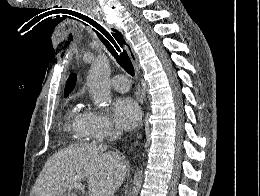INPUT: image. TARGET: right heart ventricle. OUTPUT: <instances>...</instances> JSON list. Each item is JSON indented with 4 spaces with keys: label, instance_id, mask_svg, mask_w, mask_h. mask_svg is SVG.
Segmentation results:
<instances>
[{
    "label": "right heart ventricle",
    "instance_id": "right-heart-ventricle-1",
    "mask_svg": "<svg viewBox=\"0 0 260 196\" xmlns=\"http://www.w3.org/2000/svg\"><path fill=\"white\" fill-rule=\"evenodd\" d=\"M85 112L82 111V109H74L70 114V121L74 128L81 129L82 128V121L84 117ZM79 143H89L88 139H83ZM50 192H66L65 190H50Z\"/></svg>",
    "mask_w": 260,
    "mask_h": 196
}]
</instances>
